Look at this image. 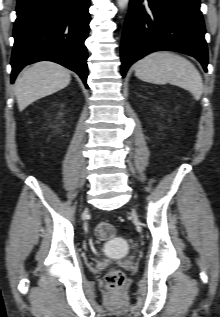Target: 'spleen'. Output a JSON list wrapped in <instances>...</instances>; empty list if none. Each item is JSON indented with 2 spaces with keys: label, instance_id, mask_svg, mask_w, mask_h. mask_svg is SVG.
<instances>
[{
  "label": "spleen",
  "instance_id": "1",
  "mask_svg": "<svg viewBox=\"0 0 220 317\" xmlns=\"http://www.w3.org/2000/svg\"><path fill=\"white\" fill-rule=\"evenodd\" d=\"M135 75L145 82L179 86L188 90L195 99H200L203 93L202 77L196 67L170 51H156L137 61Z\"/></svg>",
  "mask_w": 220,
  "mask_h": 317
}]
</instances>
